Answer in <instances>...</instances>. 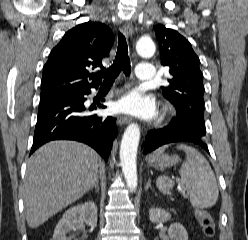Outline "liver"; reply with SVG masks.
Wrapping results in <instances>:
<instances>
[{
  "instance_id": "1",
  "label": "liver",
  "mask_w": 248,
  "mask_h": 240,
  "mask_svg": "<svg viewBox=\"0 0 248 240\" xmlns=\"http://www.w3.org/2000/svg\"><path fill=\"white\" fill-rule=\"evenodd\" d=\"M100 158L74 141H52L28 160L23 187L26 220L37 228L80 199L98 180Z\"/></svg>"
}]
</instances>
